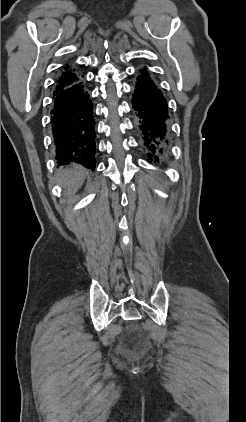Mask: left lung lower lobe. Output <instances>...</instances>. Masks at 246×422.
Returning a JSON list of instances; mask_svg holds the SVG:
<instances>
[{
    "instance_id": "0a47b994",
    "label": "left lung lower lobe",
    "mask_w": 246,
    "mask_h": 422,
    "mask_svg": "<svg viewBox=\"0 0 246 422\" xmlns=\"http://www.w3.org/2000/svg\"><path fill=\"white\" fill-rule=\"evenodd\" d=\"M132 102L137 117V130L147 156L158 161V157L164 155L168 148V104L146 67L140 70L136 78Z\"/></svg>"
}]
</instances>
